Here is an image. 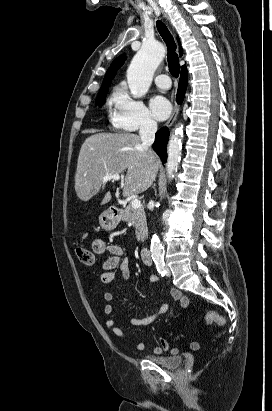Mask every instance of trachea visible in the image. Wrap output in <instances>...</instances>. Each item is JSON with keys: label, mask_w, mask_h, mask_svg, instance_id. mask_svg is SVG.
Wrapping results in <instances>:
<instances>
[{"label": "trachea", "mask_w": 272, "mask_h": 411, "mask_svg": "<svg viewBox=\"0 0 272 411\" xmlns=\"http://www.w3.org/2000/svg\"><path fill=\"white\" fill-rule=\"evenodd\" d=\"M158 32L167 46V61L169 71L173 77H178L180 72L179 58L176 53V44L174 38L166 25L162 21L156 23Z\"/></svg>", "instance_id": "1"}]
</instances>
